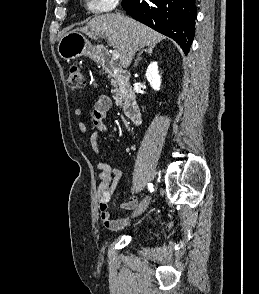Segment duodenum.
Returning a JSON list of instances; mask_svg holds the SVG:
<instances>
[{
  "label": "duodenum",
  "instance_id": "duodenum-1",
  "mask_svg": "<svg viewBox=\"0 0 259 294\" xmlns=\"http://www.w3.org/2000/svg\"><path fill=\"white\" fill-rule=\"evenodd\" d=\"M97 58L105 71L114 76L123 87L120 99L122 101L124 115L134 125H140L141 115L136 101V95L135 92L127 86L130 80V73L126 70L119 69L102 50L98 51Z\"/></svg>",
  "mask_w": 259,
  "mask_h": 294
}]
</instances>
